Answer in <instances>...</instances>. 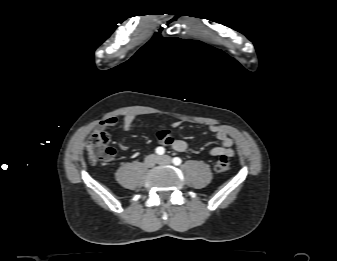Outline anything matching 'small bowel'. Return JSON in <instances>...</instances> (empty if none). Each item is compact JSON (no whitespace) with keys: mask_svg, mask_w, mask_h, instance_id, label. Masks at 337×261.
<instances>
[{"mask_svg":"<svg viewBox=\"0 0 337 261\" xmlns=\"http://www.w3.org/2000/svg\"><path fill=\"white\" fill-rule=\"evenodd\" d=\"M136 121V116L134 114H126L123 116L122 127L125 131H129L134 127ZM118 119L114 116L108 117L105 120L101 121L98 124L99 130H104L108 127L116 125ZM180 126V122H173L170 128L161 129L156 133L157 141L162 146H168L174 149L177 152H184L187 150L188 145L186 141L176 138L173 132V129ZM209 131L214 133L216 138L220 141V146L213 147L210 150L212 156H221L227 154L229 157H232L233 152V141L229 137L227 131L218 125H210ZM120 149L122 151L127 150L125 145H121Z\"/></svg>","mask_w":337,"mask_h":261,"instance_id":"1","label":"small bowel"}]
</instances>
